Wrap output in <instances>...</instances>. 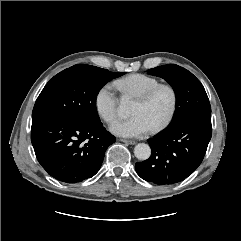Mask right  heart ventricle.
<instances>
[{"label": "right heart ventricle", "instance_id": "obj_1", "mask_svg": "<svg viewBox=\"0 0 241 241\" xmlns=\"http://www.w3.org/2000/svg\"><path fill=\"white\" fill-rule=\"evenodd\" d=\"M159 84L157 78L141 73L131 74L114 82L122 97L132 98L144 94Z\"/></svg>", "mask_w": 241, "mask_h": 241}]
</instances>
